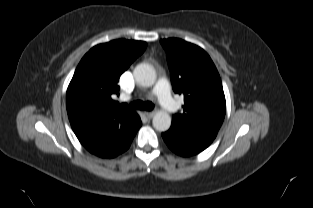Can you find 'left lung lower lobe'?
Masks as SVG:
<instances>
[{
  "label": "left lung lower lobe",
  "mask_w": 313,
  "mask_h": 208,
  "mask_svg": "<svg viewBox=\"0 0 313 208\" xmlns=\"http://www.w3.org/2000/svg\"><path fill=\"white\" fill-rule=\"evenodd\" d=\"M162 137L173 152L184 157L200 153L213 142L211 139L186 135L173 127L162 133Z\"/></svg>",
  "instance_id": "left-lung-lower-lobe-1"
}]
</instances>
